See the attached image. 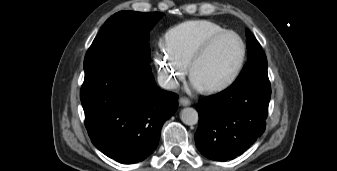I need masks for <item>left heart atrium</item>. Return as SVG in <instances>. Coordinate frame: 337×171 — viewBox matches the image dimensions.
Masks as SVG:
<instances>
[{"label": "left heart atrium", "mask_w": 337, "mask_h": 171, "mask_svg": "<svg viewBox=\"0 0 337 171\" xmlns=\"http://www.w3.org/2000/svg\"><path fill=\"white\" fill-rule=\"evenodd\" d=\"M192 85L195 89L197 90H201L203 89L204 87L196 80L192 77Z\"/></svg>", "instance_id": "39dd6f15"}]
</instances>
